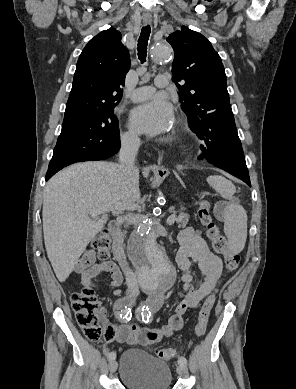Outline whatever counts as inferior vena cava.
I'll return each mask as SVG.
<instances>
[{
    "label": "inferior vena cava",
    "mask_w": 296,
    "mask_h": 389,
    "mask_svg": "<svg viewBox=\"0 0 296 389\" xmlns=\"http://www.w3.org/2000/svg\"><path fill=\"white\" fill-rule=\"evenodd\" d=\"M141 141L135 134H126L121 138V149L119 153L120 171L126 176L130 177L138 173V170L134 167V160L138 153ZM127 226L133 223V217L131 214L125 216ZM126 284L128 291L132 296L136 297L139 294L138 281L135 274L132 271L126 273Z\"/></svg>",
    "instance_id": "1"
}]
</instances>
